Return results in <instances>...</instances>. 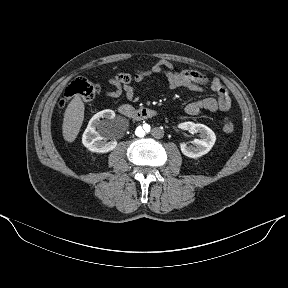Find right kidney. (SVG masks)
Masks as SVG:
<instances>
[{
	"label": "right kidney",
	"mask_w": 288,
	"mask_h": 288,
	"mask_svg": "<svg viewBox=\"0 0 288 288\" xmlns=\"http://www.w3.org/2000/svg\"><path fill=\"white\" fill-rule=\"evenodd\" d=\"M114 116L112 110H103L90 119L82 136V143L89 151L107 153L117 146L115 140L107 141L108 134L105 129L106 122Z\"/></svg>",
	"instance_id": "obj_1"
}]
</instances>
